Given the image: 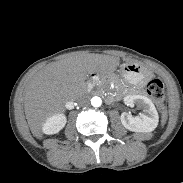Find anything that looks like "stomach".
Returning a JSON list of instances; mask_svg holds the SVG:
<instances>
[{
    "mask_svg": "<svg viewBox=\"0 0 183 183\" xmlns=\"http://www.w3.org/2000/svg\"><path fill=\"white\" fill-rule=\"evenodd\" d=\"M125 82L132 87H143L151 76V73L142 65L126 63L123 65Z\"/></svg>",
    "mask_w": 183,
    "mask_h": 183,
    "instance_id": "1",
    "label": "stomach"
}]
</instances>
